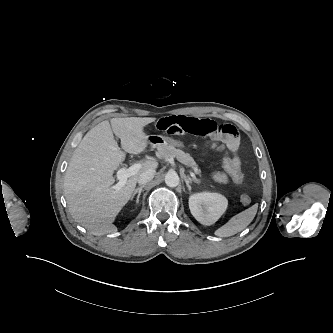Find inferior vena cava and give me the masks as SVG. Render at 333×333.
I'll return each mask as SVG.
<instances>
[{
	"label": "inferior vena cava",
	"mask_w": 333,
	"mask_h": 333,
	"mask_svg": "<svg viewBox=\"0 0 333 333\" xmlns=\"http://www.w3.org/2000/svg\"><path fill=\"white\" fill-rule=\"evenodd\" d=\"M154 176L155 170L153 169L143 171L138 178L139 185H145L146 183L150 182L154 178Z\"/></svg>",
	"instance_id": "602c4592"
}]
</instances>
